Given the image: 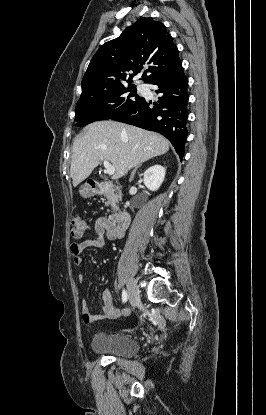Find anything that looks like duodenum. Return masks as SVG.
Instances as JSON below:
<instances>
[{"mask_svg":"<svg viewBox=\"0 0 266 415\" xmlns=\"http://www.w3.org/2000/svg\"><path fill=\"white\" fill-rule=\"evenodd\" d=\"M90 190L95 194L103 193L108 187L109 184L98 181H90L89 183ZM109 226L112 228L123 231L130 224V215L126 211H117L112 214L107 220Z\"/></svg>","mask_w":266,"mask_h":415,"instance_id":"obj_1","label":"duodenum"}]
</instances>
